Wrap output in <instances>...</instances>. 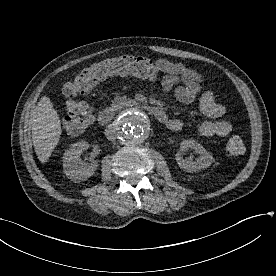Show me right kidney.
Segmentation results:
<instances>
[{"mask_svg": "<svg viewBox=\"0 0 276 276\" xmlns=\"http://www.w3.org/2000/svg\"><path fill=\"white\" fill-rule=\"evenodd\" d=\"M89 148L86 141L73 144L63 156V170L65 175L74 182L86 180L91 177L97 169L98 162L92 161L83 164L80 156L83 151Z\"/></svg>", "mask_w": 276, "mask_h": 276, "instance_id": "obj_1", "label": "right kidney"}]
</instances>
